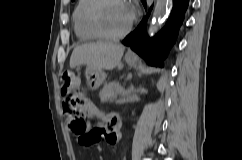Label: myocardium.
I'll use <instances>...</instances> for the list:
<instances>
[{
	"label": "myocardium",
	"mask_w": 242,
	"mask_h": 160,
	"mask_svg": "<svg viewBox=\"0 0 242 160\" xmlns=\"http://www.w3.org/2000/svg\"><path fill=\"white\" fill-rule=\"evenodd\" d=\"M105 2V0H94V2L91 4V6L88 9L87 12V23L91 30L100 38L110 41H118L123 38H125L133 29L135 21H136V15L134 12H132V18L126 27V29L119 33V34H109L106 33L100 26L98 22V11L101 7V5Z\"/></svg>",
	"instance_id": "f54148a6"
}]
</instances>
